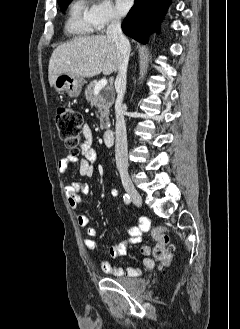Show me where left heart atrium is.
Returning <instances> with one entry per match:
<instances>
[{"label":"left heart atrium","instance_id":"39dd6f15","mask_svg":"<svg viewBox=\"0 0 240 329\" xmlns=\"http://www.w3.org/2000/svg\"><path fill=\"white\" fill-rule=\"evenodd\" d=\"M133 0H115V10L119 15H125L131 8Z\"/></svg>","mask_w":240,"mask_h":329}]
</instances>
